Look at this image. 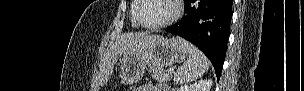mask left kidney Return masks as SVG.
Segmentation results:
<instances>
[{"label":"left kidney","instance_id":"left-kidney-1","mask_svg":"<svg viewBox=\"0 0 304 91\" xmlns=\"http://www.w3.org/2000/svg\"><path fill=\"white\" fill-rule=\"evenodd\" d=\"M212 80H200L194 84L181 86L177 91H210Z\"/></svg>","mask_w":304,"mask_h":91}]
</instances>
